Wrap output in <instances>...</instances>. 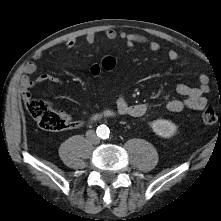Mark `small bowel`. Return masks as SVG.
Returning <instances> with one entry per match:
<instances>
[{
	"mask_svg": "<svg viewBox=\"0 0 221 221\" xmlns=\"http://www.w3.org/2000/svg\"><path fill=\"white\" fill-rule=\"evenodd\" d=\"M104 36L108 40H116L118 37L123 39L127 46L132 47L135 44H146L148 49L152 52H158L161 49L159 43L155 41L148 40L145 36L135 33H122L118 34L114 29L108 28L104 31ZM96 34L88 33L85 36V41L87 44H94L96 42ZM67 48H73L76 45V40L70 38L66 41ZM167 57L172 61H177L179 59V54L175 50H168ZM40 58V55L37 56ZM63 66L69 69L74 67L66 62L63 63ZM37 70V66L34 62H28L23 67V75L21 78V93L25 101L31 98V89L41 83L51 82L55 84H61V80L52 74L42 73L36 78H31V75L34 74ZM208 82L209 78L206 74H200L198 76V85L191 86L185 83H180L176 87V92L183 96V99H173L168 102L167 109L171 112L177 113L184 109H191L195 111L203 110L207 105V99L204 94L208 91ZM116 109L117 112L121 115L130 116L134 118H139L145 115L149 109L147 103H129L124 95H119L116 100ZM62 116L67 120L69 128H75L80 126L79 121H75L67 113H62Z\"/></svg>",
	"mask_w": 221,
	"mask_h": 221,
	"instance_id": "obj_1",
	"label": "small bowel"
}]
</instances>
